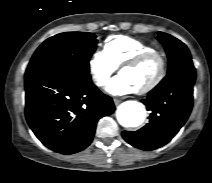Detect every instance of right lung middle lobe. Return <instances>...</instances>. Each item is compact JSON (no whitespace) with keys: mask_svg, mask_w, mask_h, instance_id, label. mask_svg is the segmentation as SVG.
Masks as SVG:
<instances>
[{"mask_svg":"<svg viewBox=\"0 0 212 183\" xmlns=\"http://www.w3.org/2000/svg\"><path fill=\"white\" fill-rule=\"evenodd\" d=\"M96 36L86 32L60 33L35 51L26 72L57 71L89 74V60L96 49Z\"/></svg>","mask_w":212,"mask_h":183,"instance_id":"1","label":"right lung middle lobe"}]
</instances>
